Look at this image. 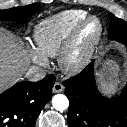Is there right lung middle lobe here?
<instances>
[{"mask_svg":"<svg viewBox=\"0 0 127 127\" xmlns=\"http://www.w3.org/2000/svg\"><path fill=\"white\" fill-rule=\"evenodd\" d=\"M38 8L37 3L27 6L15 7L6 10H0V21L25 20L33 15Z\"/></svg>","mask_w":127,"mask_h":127,"instance_id":"1","label":"right lung middle lobe"}]
</instances>
